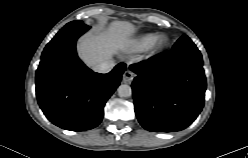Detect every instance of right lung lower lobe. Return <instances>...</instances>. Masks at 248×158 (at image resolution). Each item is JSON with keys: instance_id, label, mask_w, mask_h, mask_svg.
Returning a JSON list of instances; mask_svg holds the SVG:
<instances>
[{"instance_id": "obj_1", "label": "right lung lower lobe", "mask_w": 248, "mask_h": 158, "mask_svg": "<svg viewBox=\"0 0 248 158\" xmlns=\"http://www.w3.org/2000/svg\"><path fill=\"white\" fill-rule=\"evenodd\" d=\"M89 29L62 28L47 44L36 71V96L45 116L60 128L85 131L103 118L106 101L119 86L126 64L100 74L87 68L76 54V41Z\"/></svg>"}]
</instances>
